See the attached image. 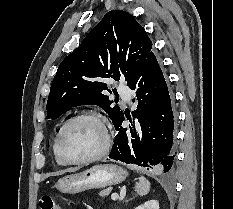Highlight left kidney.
I'll return each instance as SVG.
<instances>
[{"mask_svg": "<svg viewBox=\"0 0 233 209\" xmlns=\"http://www.w3.org/2000/svg\"><path fill=\"white\" fill-rule=\"evenodd\" d=\"M135 209H159V202L157 200H149Z\"/></svg>", "mask_w": 233, "mask_h": 209, "instance_id": "obj_1", "label": "left kidney"}]
</instances>
